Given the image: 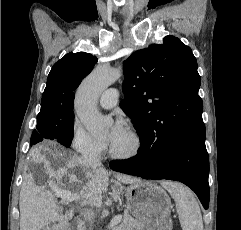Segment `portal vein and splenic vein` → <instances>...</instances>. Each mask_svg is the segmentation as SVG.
<instances>
[{
	"instance_id": "1",
	"label": "portal vein and splenic vein",
	"mask_w": 241,
	"mask_h": 230,
	"mask_svg": "<svg viewBox=\"0 0 241 230\" xmlns=\"http://www.w3.org/2000/svg\"><path fill=\"white\" fill-rule=\"evenodd\" d=\"M57 196L61 197L62 199L66 200V201H74V200L79 199V196H77V195H66V193L63 192V191L61 193H57ZM100 202L98 204H100ZM121 220H122V215L116 216L115 218H113L111 220L110 226L117 225Z\"/></svg>"
}]
</instances>
